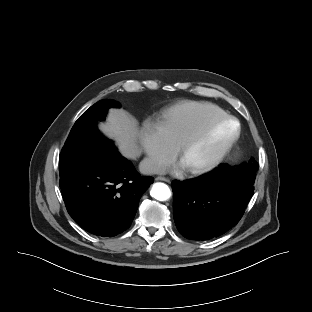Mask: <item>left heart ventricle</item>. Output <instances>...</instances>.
<instances>
[{
  "mask_svg": "<svg viewBox=\"0 0 312 312\" xmlns=\"http://www.w3.org/2000/svg\"><path fill=\"white\" fill-rule=\"evenodd\" d=\"M233 123H224L216 127L202 141L191 147L181 158L187 167H193L208 160L232 135Z\"/></svg>",
  "mask_w": 312,
  "mask_h": 312,
  "instance_id": "1",
  "label": "left heart ventricle"
}]
</instances>
